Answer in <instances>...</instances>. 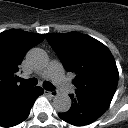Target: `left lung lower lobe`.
<instances>
[{
    "label": "left lung lower lobe",
    "instance_id": "1",
    "mask_svg": "<svg viewBox=\"0 0 128 128\" xmlns=\"http://www.w3.org/2000/svg\"><path fill=\"white\" fill-rule=\"evenodd\" d=\"M72 107L59 117L75 126L88 125L98 119L109 107L112 97L96 94L70 95Z\"/></svg>",
    "mask_w": 128,
    "mask_h": 128
}]
</instances>
